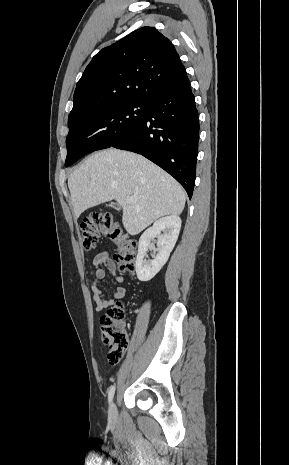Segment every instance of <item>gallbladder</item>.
<instances>
[{"label":"gallbladder","instance_id":"bac80fb5","mask_svg":"<svg viewBox=\"0 0 289 465\" xmlns=\"http://www.w3.org/2000/svg\"><path fill=\"white\" fill-rule=\"evenodd\" d=\"M109 206H112V207L116 208L117 210L121 209V207L116 203H111V204H109Z\"/></svg>","mask_w":289,"mask_h":465}]
</instances>
